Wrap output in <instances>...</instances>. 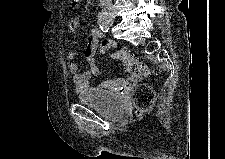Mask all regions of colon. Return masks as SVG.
I'll list each match as a JSON object with an SVG mask.
<instances>
[{"mask_svg":"<svg viewBox=\"0 0 225 159\" xmlns=\"http://www.w3.org/2000/svg\"><path fill=\"white\" fill-rule=\"evenodd\" d=\"M77 2L78 0H71ZM106 51V50H103ZM111 57L120 60L132 80H140L151 74V68L140 59L135 58L129 51L118 49L111 53ZM155 92L148 84H139L133 92V103L136 112L143 113L149 111L154 103Z\"/></svg>","mask_w":225,"mask_h":159,"instance_id":"obj_1","label":"colon"}]
</instances>
